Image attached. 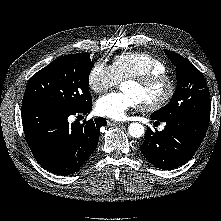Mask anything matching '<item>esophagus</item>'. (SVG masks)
Instances as JSON below:
<instances>
[{"mask_svg": "<svg viewBox=\"0 0 221 221\" xmlns=\"http://www.w3.org/2000/svg\"><path fill=\"white\" fill-rule=\"evenodd\" d=\"M107 124L108 125H114V126H117V125H123L124 123L123 122H117V121H113V120H107Z\"/></svg>", "mask_w": 221, "mask_h": 221, "instance_id": "34e87169", "label": "esophagus"}]
</instances>
